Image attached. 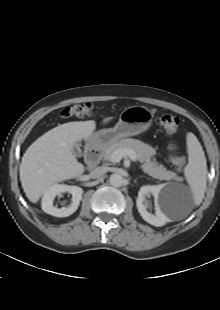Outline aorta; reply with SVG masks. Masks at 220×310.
Wrapping results in <instances>:
<instances>
[{
    "label": "aorta",
    "mask_w": 220,
    "mask_h": 310,
    "mask_svg": "<svg viewBox=\"0 0 220 310\" xmlns=\"http://www.w3.org/2000/svg\"><path fill=\"white\" fill-rule=\"evenodd\" d=\"M110 184L114 187H121L124 183V178L117 173H114L109 178Z\"/></svg>",
    "instance_id": "obj_1"
}]
</instances>
